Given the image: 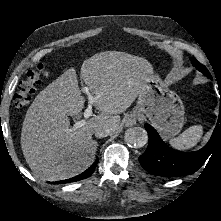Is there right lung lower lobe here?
<instances>
[{"mask_svg":"<svg viewBox=\"0 0 221 221\" xmlns=\"http://www.w3.org/2000/svg\"><path fill=\"white\" fill-rule=\"evenodd\" d=\"M97 163H98V159L95 161V163L91 167H89L86 171H84L80 175H77V176H75L73 178H70V179H66V180H62V181H57L55 183L62 184V183L75 182V181H79V180L85 179V178L89 177L93 173V171L97 167Z\"/></svg>","mask_w":221,"mask_h":221,"instance_id":"right-lung-lower-lobe-1","label":"right lung lower lobe"}]
</instances>
